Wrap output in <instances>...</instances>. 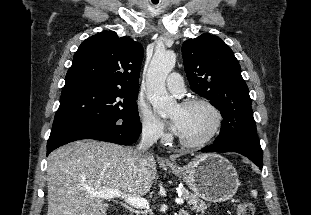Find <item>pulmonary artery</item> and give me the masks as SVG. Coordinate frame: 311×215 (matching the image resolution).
Returning a JSON list of instances; mask_svg holds the SVG:
<instances>
[{
    "instance_id": "1",
    "label": "pulmonary artery",
    "mask_w": 311,
    "mask_h": 215,
    "mask_svg": "<svg viewBox=\"0 0 311 215\" xmlns=\"http://www.w3.org/2000/svg\"><path fill=\"white\" fill-rule=\"evenodd\" d=\"M167 88L176 96H182L185 92L183 77L179 73H171L166 81Z\"/></svg>"
}]
</instances>
